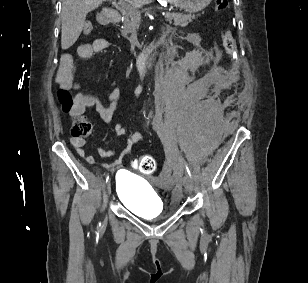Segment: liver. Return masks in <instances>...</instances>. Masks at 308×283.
Returning <instances> with one entry per match:
<instances>
[{"label": "liver", "instance_id": "6515ba94", "mask_svg": "<svg viewBox=\"0 0 308 283\" xmlns=\"http://www.w3.org/2000/svg\"><path fill=\"white\" fill-rule=\"evenodd\" d=\"M104 0H62L61 47L70 48L80 36L86 16L95 10ZM151 0H129V3L141 7Z\"/></svg>", "mask_w": 308, "mask_h": 283}]
</instances>
